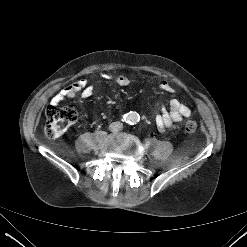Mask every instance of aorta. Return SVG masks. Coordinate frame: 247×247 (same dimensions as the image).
<instances>
[{"instance_id": "aorta-1", "label": "aorta", "mask_w": 247, "mask_h": 247, "mask_svg": "<svg viewBox=\"0 0 247 247\" xmlns=\"http://www.w3.org/2000/svg\"><path fill=\"white\" fill-rule=\"evenodd\" d=\"M125 119L129 124H136L137 122H139L140 117L137 112L130 111L126 114Z\"/></svg>"}]
</instances>
